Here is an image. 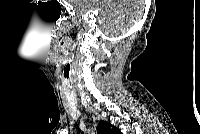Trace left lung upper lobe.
<instances>
[{"mask_svg":"<svg viewBox=\"0 0 200 134\" xmlns=\"http://www.w3.org/2000/svg\"><path fill=\"white\" fill-rule=\"evenodd\" d=\"M98 134H121L120 130L109 122L101 121L97 126Z\"/></svg>","mask_w":200,"mask_h":134,"instance_id":"left-lung-upper-lobe-1","label":"left lung upper lobe"}]
</instances>
